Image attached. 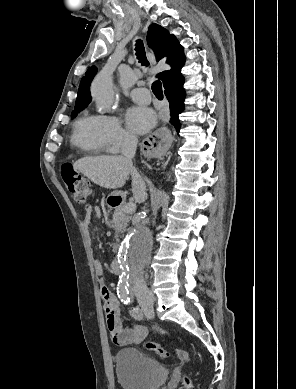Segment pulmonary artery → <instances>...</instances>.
Masks as SVG:
<instances>
[{"mask_svg":"<svg viewBox=\"0 0 296 389\" xmlns=\"http://www.w3.org/2000/svg\"><path fill=\"white\" fill-rule=\"evenodd\" d=\"M131 98L140 104H148L151 100L149 91L143 87L133 89L131 91Z\"/></svg>","mask_w":296,"mask_h":389,"instance_id":"e3ab8cb5","label":"pulmonary artery"}]
</instances>
